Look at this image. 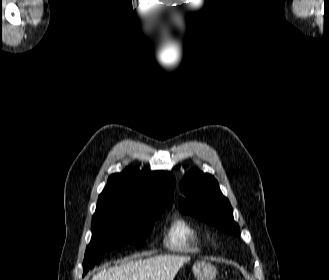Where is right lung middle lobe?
Here are the masks:
<instances>
[{
  "label": "right lung middle lobe",
  "mask_w": 329,
  "mask_h": 280,
  "mask_svg": "<svg viewBox=\"0 0 329 280\" xmlns=\"http://www.w3.org/2000/svg\"><path fill=\"white\" fill-rule=\"evenodd\" d=\"M168 202L157 201L148 207L115 201L98 204L92 218V238L85 252L83 275L104 252L143 242Z\"/></svg>",
  "instance_id": "right-lung-middle-lobe-1"
}]
</instances>
